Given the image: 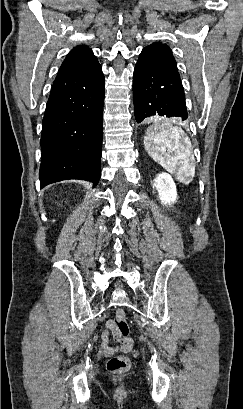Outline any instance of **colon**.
Returning a JSON list of instances; mask_svg holds the SVG:
<instances>
[{
  "label": "colon",
  "instance_id": "obj_1",
  "mask_svg": "<svg viewBox=\"0 0 243 409\" xmlns=\"http://www.w3.org/2000/svg\"><path fill=\"white\" fill-rule=\"evenodd\" d=\"M114 336L121 340L124 345L131 349L132 339L129 337V325L126 320L124 309L116 310L115 318L113 319ZM131 365L130 358L127 355H118L111 357L107 362V369L113 373H122L129 369Z\"/></svg>",
  "mask_w": 243,
  "mask_h": 409
}]
</instances>
